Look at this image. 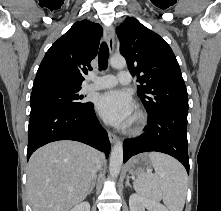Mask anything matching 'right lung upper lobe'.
<instances>
[{"mask_svg":"<svg viewBox=\"0 0 221 211\" xmlns=\"http://www.w3.org/2000/svg\"><path fill=\"white\" fill-rule=\"evenodd\" d=\"M102 27L82 20L59 38L46 52L36 74L33 90L47 88H80L84 78L92 70L90 62L95 58Z\"/></svg>","mask_w":221,"mask_h":211,"instance_id":"obj_1","label":"right lung upper lobe"}]
</instances>
